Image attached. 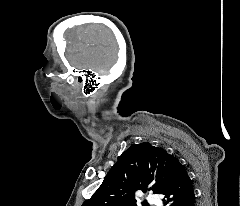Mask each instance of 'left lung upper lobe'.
<instances>
[{
    "instance_id": "1",
    "label": "left lung upper lobe",
    "mask_w": 240,
    "mask_h": 206,
    "mask_svg": "<svg viewBox=\"0 0 240 206\" xmlns=\"http://www.w3.org/2000/svg\"><path fill=\"white\" fill-rule=\"evenodd\" d=\"M177 159L149 143L132 144L114 164L101 186L82 206H137L135 192L164 194Z\"/></svg>"
}]
</instances>
